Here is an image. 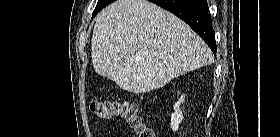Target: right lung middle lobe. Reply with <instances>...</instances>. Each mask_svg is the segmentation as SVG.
Wrapping results in <instances>:
<instances>
[{
	"mask_svg": "<svg viewBox=\"0 0 280 137\" xmlns=\"http://www.w3.org/2000/svg\"><path fill=\"white\" fill-rule=\"evenodd\" d=\"M115 0H98L96 8L93 11V16H95L99 11H101L108 4L112 3Z\"/></svg>",
	"mask_w": 280,
	"mask_h": 137,
	"instance_id": "right-lung-middle-lobe-1",
	"label": "right lung middle lobe"
}]
</instances>
